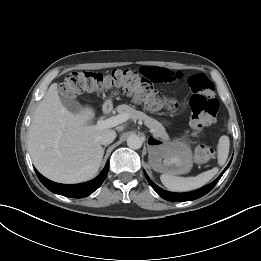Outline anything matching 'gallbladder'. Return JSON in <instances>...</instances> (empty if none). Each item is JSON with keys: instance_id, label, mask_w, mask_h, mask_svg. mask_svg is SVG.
Returning a JSON list of instances; mask_svg holds the SVG:
<instances>
[{"instance_id": "bac80fb5", "label": "gallbladder", "mask_w": 261, "mask_h": 261, "mask_svg": "<svg viewBox=\"0 0 261 261\" xmlns=\"http://www.w3.org/2000/svg\"><path fill=\"white\" fill-rule=\"evenodd\" d=\"M62 104L71 112L77 114L81 111V105L77 100H75L72 96H63Z\"/></svg>"}]
</instances>
